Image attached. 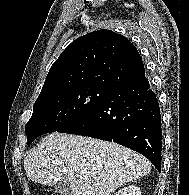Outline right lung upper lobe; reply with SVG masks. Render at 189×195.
Returning <instances> with one entry per match:
<instances>
[{
  "instance_id": "cb5924a9",
  "label": "right lung upper lobe",
  "mask_w": 189,
  "mask_h": 195,
  "mask_svg": "<svg viewBox=\"0 0 189 195\" xmlns=\"http://www.w3.org/2000/svg\"><path fill=\"white\" fill-rule=\"evenodd\" d=\"M145 73L135 46L110 30L77 38L51 66L39 96L76 87L113 90Z\"/></svg>"
}]
</instances>
